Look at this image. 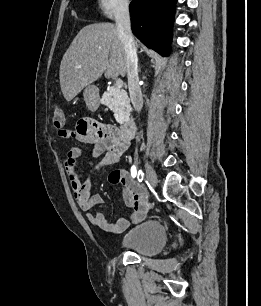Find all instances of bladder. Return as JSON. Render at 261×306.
<instances>
[{"label": "bladder", "instance_id": "obj_1", "mask_svg": "<svg viewBox=\"0 0 261 306\" xmlns=\"http://www.w3.org/2000/svg\"><path fill=\"white\" fill-rule=\"evenodd\" d=\"M167 241L164 224L155 219L146 220L129 229L120 240V247L144 256L158 254Z\"/></svg>", "mask_w": 261, "mask_h": 306}]
</instances>
